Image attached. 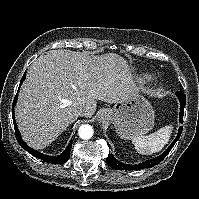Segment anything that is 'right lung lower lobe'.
I'll return each mask as SVG.
<instances>
[{"mask_svg": "<svg viewBox=\"0 0 199 199\" xmlns=\"http://www.w3.org/2000/svg\"><path fill=\"white\" fill-rule=\"evenodd\" d=\"M26 78V73H24L22 79H21V82H20V85L21 83L23 82V80ZM16 101H17V95L13 101V107L15 106L16 104ZM12 117H14V111L12 109ZM13 123H14V128H15V133H16V138H17V141L18 143L20 144V146L25 149L26 151H28L29 153H31L33 156L43 160V161H46L48 163H53V164H61V163H64L68 160V158L70 157V150L72 148V142H70L67 146V148L64 150V152H62L60 155L58 156H48V155H44L32 148H30L21 138V135H20V132L17 128V125H16V122L15 120H13Z\"/></svg>", "mask_w": 199, "mask_h": 199, "instance_id": "right-lung-lower-lobe-1", "label": "right lung lower lobe"}]
</instances>
